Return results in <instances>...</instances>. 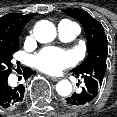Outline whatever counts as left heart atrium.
<instances>
[{
    "label": "left heart atrium",
    "instance_id": "39dd6f15",
    "mask_svg": "<svg viewBox=\"0 0 117 117\" xmlns=\"http://www.w3.org/2000/svg\"><path fill=\"white\" fill-rule=\"evenodd\" d=\"M73 62V55L59 48H46L33 58V65L48 74H57Z\"/></svg>",
    "mask_w": 117,
    "mask_h": 117
}]
</instances>
